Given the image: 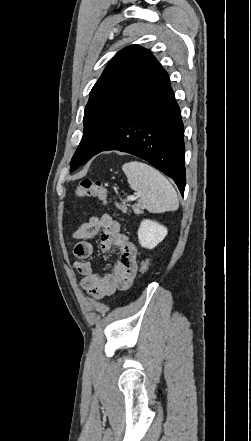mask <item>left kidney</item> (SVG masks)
<instances>
[{
    "instance_id": "1",
    "label": "left kidney",
    "mask_w": 251,
    "mask_h": 441,
    "mask_svg": "<svg viewBox=\"0 0 251 441\" xmlns=\"http://www.w3.org/2000/svg\"><path fill=\"white\" fill-rule=\"evenodd\" d=\"M167 235V228L159 223L144 219L138 229V239L142 247L153 249Z\"/></svg>"
}]
</instances>
